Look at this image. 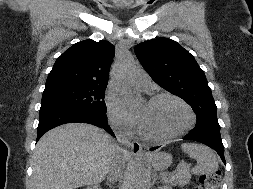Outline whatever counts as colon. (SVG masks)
Returning a JSON list of instances; mask_svg holds the SVG:
<instances>
[{"label": "colon", "instance_id": "colon-1", "mask_svg": "<svg viewBox=\"0 0 253 189\" xmlns=\"http://www.w3.org/2000/svg\"><path fill=\"white\" fill-rule=\"evenodd\" d=\"M221 181L219 171L206 173L200 176L197 189H218Z\"/></svg>", "mask_w": 253, "mask_h": 189}]
</instances>
